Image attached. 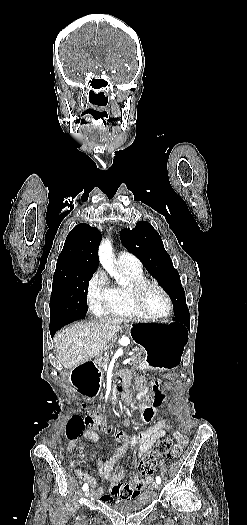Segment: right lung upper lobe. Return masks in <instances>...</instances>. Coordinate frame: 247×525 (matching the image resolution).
<instances>
[{
    "mask_svg": "<svg viewBox=\"0 0 247 525\" xmlns=\"http://www.w3.org/2000/svg\"><path fill=\"white\" fill-rule=\"evenodd\" d=\"M101 233L95 227L82 223L67 235L58 256L55 271H86L94 273L98 266V246Z\"/></svg>",
    "mask_w": 247,
    "mask_h": 525,
    "instance_id": "cb5924a9",
    "label": "right lung upper lobe"
}]
</instances>
